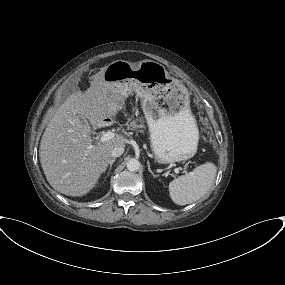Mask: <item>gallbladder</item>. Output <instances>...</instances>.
I'll list each match as a JSON object with an SVG mask.
<instances>
[{
    "label": "gallbladder",
    "mask_w": 285,
    "mask_h": 285,
    "mask_svg": "<svg viewBox=\"0 0 285 285\" xmlns=\"http://www.w3.org/2000/svg\"><path fill=\"white\" fill-rule=\"evenodd\" d=\"M78 118L82 123L86 124V121L80 115H78Z\"/></svg>",
    "instance_id": "bac80fb5"
}]
</instances>
